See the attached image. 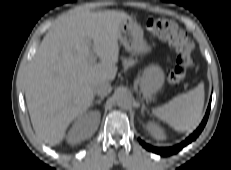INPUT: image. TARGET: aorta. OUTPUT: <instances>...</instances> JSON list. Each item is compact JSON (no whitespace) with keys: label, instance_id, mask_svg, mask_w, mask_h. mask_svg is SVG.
<instances>
[{"label":"aorta","instance_id":"obj_1","mask_svg":"<svg viewBox=\"0 0 231 170\" xmlns=\"http://www.w3.org/2000/svg\"><path fill=\"white\" fill-rule=\"evenodd\" d=\"M117 105L121 108L128 109L132 106V99L126 93H120L116 98Z\"/></svg>","mask_w":231,"mask_h":170}]
</instances>
